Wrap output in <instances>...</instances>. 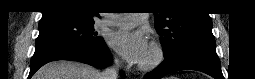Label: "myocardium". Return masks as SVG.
Here are the masks:
<instances>
[{"label":"myocardium","instance_id":"myocardium-1","mask_svg":"<svg viewBox=\"0 0 255 79\" xmlns=\"http://www.w3.org/2000/svg\"><path fill=\"white\" fill-rule=\"evenodd\" d=\"M149 50L153 53V56L148 62H141L139 69L142 71H151L158 68L165 60V50L163 46L158 42H151Z\"/></svg>","mask_w":255,"mask_h":79}]
</instances>
